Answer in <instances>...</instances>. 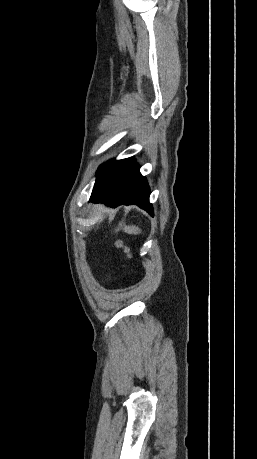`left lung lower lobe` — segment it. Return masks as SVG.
<instances>
[{
    "mask_svg": "<svg viewBox=\"0 0 257 459\" xmlns=\"http://www.w3.org/2000/svg\"><path fill=\"white\" fill-rule=\"evenodd\" d=\"M149 195V186L139 167L132 158H127L100 166L90 201L112 207L136 204L153 215Z\"/></svg>",
    "mask_w": 257,
    "mask_h": 459,
    "instance_id": "obj_1",
    "label": "left lung lower lobe"
}]
</instances>
